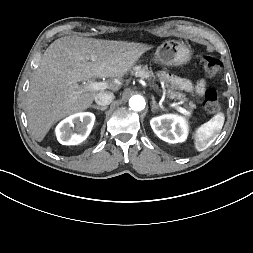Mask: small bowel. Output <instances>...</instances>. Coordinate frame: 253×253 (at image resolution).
<instances>
[{
	"label": "small bowel",
	"mask_w": 253,
	"mask_h": 253,
	"mask_svg": "<svg viewBox=\"0 0 253 253\" xmlns=\"http://www.w3.org/2000/svg\"><path fill=\"white\" fill-rule=\"evenodd\" d=\"M178 84H179V86H181L185 89L192 90V85L190 83L186 82V81L181 80V81L178 82ZM204 89H205L204 80L198 81L196 86H195L196 93L201 94V93H203Z\"/></svg>",
	"instance_id": "c3829d8e"
}]
</instances>
